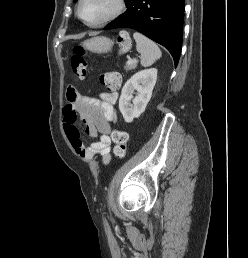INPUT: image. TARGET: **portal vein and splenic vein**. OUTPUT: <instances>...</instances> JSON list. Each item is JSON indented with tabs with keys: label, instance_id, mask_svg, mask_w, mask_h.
<instances>
[{
	"label": "portal vein and splenic vein",
	"instance_id": "portal-vein-and-splenic-vein-1",
	"mask_svg": "<svg viewBox=\"0 0 248 258\" xmlns=\"http://www.w3.org/2000/svg\"><path fill=\"white\" fill-rule=\"evenodd\" d=\"M131 62H133V60H132V59H129V60H128V63H131Z\"/></svg>",
	"mask_w": 248,
	"mask_h": 258
}]
</instances>
